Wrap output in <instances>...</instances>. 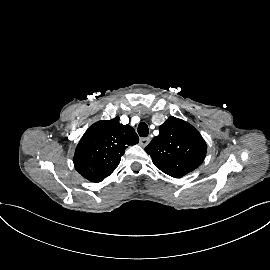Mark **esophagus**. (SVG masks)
Masks as SVG:
<instances>
[{
    "label": "esophagus",
    "mask_w": 270,
    "mask_h": 270,
    "mask_svg": "<svg viewBox=\"0 0 270 270\" xmlns=\"http://www.w3.org/2000/svg\"><path fill=\"white\" fill-rule=\"evenodd\" d=\"M150 140L151 139L149 137L141 138L140 141H139V143H140V145L142 147H145V146H147L149 144Z\"/></svg>",
    "instance_id": "obj_1"
}]
</instances>
